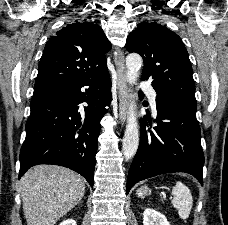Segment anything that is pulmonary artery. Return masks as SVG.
Instances as JSON below:
<instances>
[{"instance_id": "1", "label": "pulmonary artery", "mask_w": 228, "mask_h": 225, "mask_svg": "<svg viewBox=\"0 0 228 225\" xmlns=\"http://www.w3.org/2000/svg\"><path fill=\"white\" fill-rule=\"evenodd\" d=\"M138 86H140L141 90H145V93L149 99V103L152 107V110L155 112L156 111V97H157L156 91L152 88L151 85H147V81H138Z\"/></svg>"}]
</instances>
